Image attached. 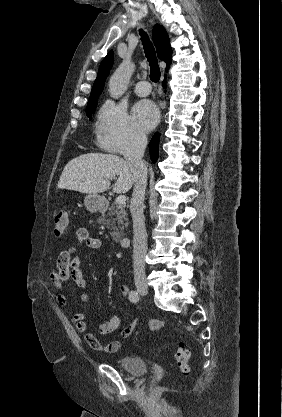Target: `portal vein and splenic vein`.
Wrapping results in <instances>:
<instances>
[{"mask_svg": "<svg viewBox=\"0 0 282 417\" xmlns=\"http://www.w3.org/2000/svg\"><path fill=\"white\" fill-rule=\"evenodd\" d=\"M125 200H126L125 194H119L118 198H116V202H118V204H123Z\"/></svg>", "mask_w": 282, "mask_h": 417, "instance_id": "portal-vein-and-splenic-vein-1", "label": "portal vein and splenic vein"}]
</instances>
